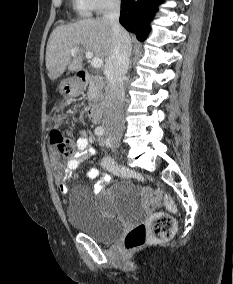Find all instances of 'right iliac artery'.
<instances>
[{"label": "right iliac artery", "instance_id": "82829eb1", "mask_svg": "<svg viewBox=\"0 0 233 284\" xmlns=\"http://www.w3.org/2000/svg\"><path fill=\"white\" fill-rule=\"evenodd\" d=\"M95 134H96L97 136H102V135L104 134V128L101 127V126L97 127V128L95 129Z\"/></svg>", "mask_w": 233, "mask_h": 284}]
</instances>
